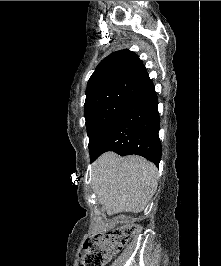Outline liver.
I'll list each match as a JSON object with an SVG mask.
<instances>
[{"instance_id":"obj_1","label":"liver","mask_w":221,"mask_h":266,"mask_svg":"<svg viewBox=\"0 0 221 266\" xmlns=\"http://www.w3.org/2000/svg\"><path fill=\"white\" fill-rule=\"evenodd\" d=\"M157 168L146 159L106 152L94 163L92 186L108 215L143 211L157 190Z\"/></svg>"}]
</instances>
